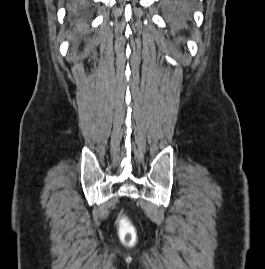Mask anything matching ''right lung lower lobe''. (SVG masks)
I'll use <instances>...</instances> for the list:
<instances>
[{
	"instance_id": "98d812e1",
	"label": "right lung lower lobe",
	"mask_w": 265,
	"mask_h": 269,
	"mask_svg": "<svg viewBox=\"0 0 265 269\" xmlns=\"http://www.w3.org/2000/svg\"><path fill=\"white\" fill-rule=\"evenodd\" d=\"M76 2L73 5V8L76 12H81L84 9V4L81 2L82 0H75Z\"/></svg>"
}]
</instances>
